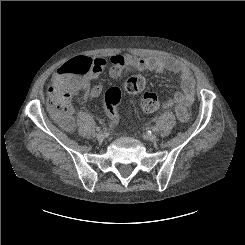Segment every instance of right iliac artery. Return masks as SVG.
Masks as SVG:
<instances>
[{
    "instance_id": "1",
    "label": "right iliac artery",
    "mask_w": 245,
    "mask_h": 245,
    "mask_svg": "<svg viewBox=\"0 0 245 245\" xmlns=\"http://www.w3.org/2000/svg\"><path fill=\"white\" fill-rule=\"evenodd\" d=\"M96 130H97V131H100V127H96Z\"/></svg>"
}]
</instances>
